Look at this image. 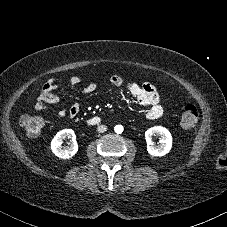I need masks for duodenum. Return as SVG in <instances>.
<instances>
[{"instance_id": "1", "label": "duodenum", "mask_w": 227, "mask_h": 227, "mask_svg": "<svg viewBox=\"0 0 227 227\" xmlns=\"http://www.w3.org/2000/svg\"><path fill=\"white\" fill-rule=\"evenodd\" d=\"M101 121V119L99 117H91L90 119H88L87 123L89 125H95L97 123H99Z\"/></svg>"}]
</instances>
